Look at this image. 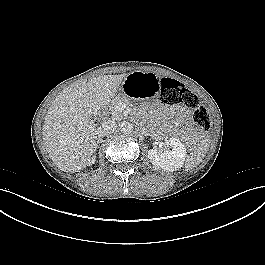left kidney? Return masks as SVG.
Listing matches in <instances>:
<instances>
[{"mask_svg": "<svg viewBox=\"0 0 265 265\" xmlns=\"http://www.w3.org/2000/svg\"><path fill=\"white\" fill-rule=\"evenodd\" d=\"M168 145L171 147V150L150 149L148 151V158L154 166L171 172L177 171L183 166L186 158L185 145L177 138H170Z\"/></svg>", "mask_w": 265, "mask_h": 265, "instance_id": "obj_1", "label": "left kidney"}]
</instances>
